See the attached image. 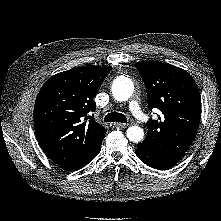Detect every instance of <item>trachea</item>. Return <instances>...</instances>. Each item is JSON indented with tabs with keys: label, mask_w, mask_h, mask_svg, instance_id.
<instances>
[{
	"label": "trachea",
	"mask_w": 221,
	"mask_h": 221,
	"mask_svg": "<svg viewBox=\"0 0 221 221\" xmlns=\"http://www.w3.org/2000/svg\"><path fill=\"white\" fill-rule=\"evenodd\" d=\"M105 122H120V123H127V118L124 114L117 113V112H111L108 113L105 118Z\"/></svg>",
	"instance_id": "3493384b"
}]
</instances>
